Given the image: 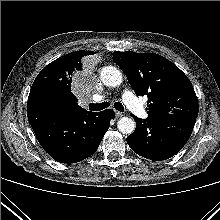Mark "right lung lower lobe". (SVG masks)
I'll use <instances>...</instances> for the list:
<instances>
[{
	"label": "right lung lower lobe",
	"instance_id": "right-lung-lower-lobe-1",
	"mask_svg": "<svg viewBox=\"0 0 220 220\" xmlns=\"http://www.w3.org/2000/svg\"><path fill=\"white\" fill-rule=\"evenodd\" d=\"M27 116L44 150L56 161L76 163L96 152L114 111L73 112L47 105L27 107Z\"/></svg>",
	"mask_w": 220,
	"mask_h": 220
}]
</instances>
